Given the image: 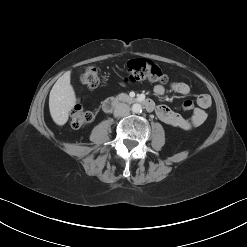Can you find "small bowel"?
I'll list each match as a JSON object with an SVG mask.
<instances>
[{
	"label": "small bowel",
	"instance_id": "1",
	"mask_svg": "<svg viewBox=\"0 0 247 247\" xmlns=\"http://www.w3.org/2000/svg\"><path fill=\"white\" fill-rule=\"evenodd\" d=\"M170 90L181 94L188 95L191 92V88L187 83L174 82L170 85ZM167 89L165 86L158 84L154 87V93L158 96H162L166 93ZM212 100L208 94H201L197 97L198 108L194 109L190 118H185L182 115L174 112L165 105L155 106V113L157 117L164 123L177 127L183 130H190L192 128L202 125L207 114L205 109L211 106Z\"/></svg>",
	"mask_w": 247,
	"mask_h": 247
}]
</instances>
